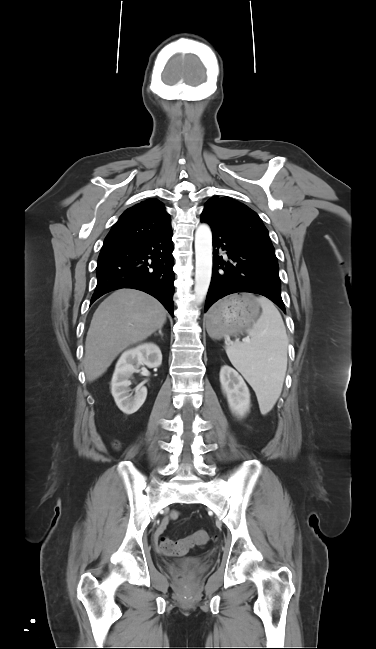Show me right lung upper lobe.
Here are the masks:
<instances>
[{
  "label": "right lung upper lobe",
  "mask_w": 376,
  "mask_h": 649,
  "mask_svg": "<svg viewBox=\"0 0 376 649\" xmlns=\"http://www.w3.org/2000/svg\"><path fill=\"white\" fill-rule=\"evenodd\" d=\"M169 230L171 221L163 204L155 198L147 199L124 211L106 236L102 250L120 247Z\"/></svg>",
  "instance_id": "right-lung-upper-lobe-1"
}]
</instances>
